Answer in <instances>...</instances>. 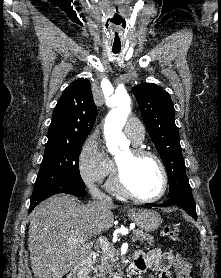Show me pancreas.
Returning <instances> with one entry per match:
<instances>
[{
  "label": "pancreas",
  "instance_id": "pancreas-1",
  "mask_svg": "<svg viewBox=\"0 0 221 278\" xmlns=\"http://www.w3.org/2000/svg\"><path fill=\"white\" fill-rule=\"evenodd\" d=\"M135 240H139L144 243L147 242L149 245H153L154 237L149 233L137 230L134 232ZM100 264H97L94 268V278H111L114 276L113 270L118 266V251L111 245L109 251H104L100 256Z\"/></svg>",
  "mask_w": 221,
  "mask_h": 278
}]
</instances>
